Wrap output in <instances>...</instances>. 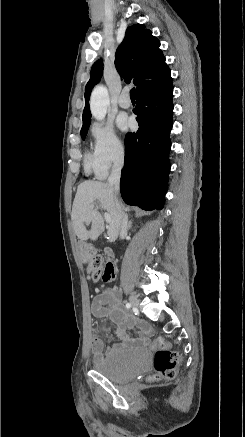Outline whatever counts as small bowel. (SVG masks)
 Returning a JSON list of instances; mask_svg holds the SVG:
<instances>
[{
	"instance_id": "1",
	"label": "small bowel",
	"mask_w": 245,
	"mask_h": 437,
	"mask_svg": "<svg viewBox=\"0 0 245 437\" xmlns=\"http://www.w3.org/2000/svg\"><path fill=\"white\" fill-rule=\"evenodd\" d=\"M92 315L96 318L108 319L116 324L115 334L123 344H132L134 341L127 335L126 328L135 324V319L120 308L119 294L116 289H106L93 300L91 307ZM144 333L148 328L142 325ZM112 348H108L111 350ZM103 341L94 336L91 339V351L96 359L103 355Z\"/></svg>"
}]
</instances>
